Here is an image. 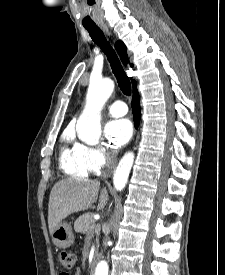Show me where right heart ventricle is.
Wrapping results in <instances>:
<instances>
[{
  "instance_id": "obj_1",
  "label": "right heart ventricle",
  "mask_w": 225,
  "mask_h": 275,
  "mask_svg": "<svg viewBox=\"0 0 225 275\" xmlns=\"http://www.w3.org/2000/svg\"><path fill=\"white\" fill-rule=\"evenodd\" d=\"M68 137L69 134L66 135V138ZM60 166L65 173L75 177H88L91 172L77 152L76 147H63L60 154Z\"/></svg>"
}]
</instances>
